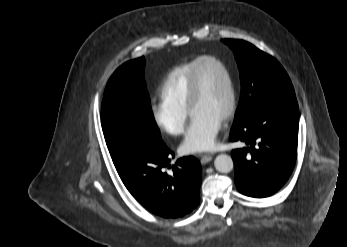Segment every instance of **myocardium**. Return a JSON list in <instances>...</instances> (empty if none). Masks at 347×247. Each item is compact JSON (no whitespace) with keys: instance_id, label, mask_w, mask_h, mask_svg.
Segmentation results:
<instances>
[{"instance_id":"obj_1","label":"myocardium","mask_w":347,"mask_h":247,"mask_svg":"<svg viewBox=\"0 0 347 247\" xmlns=\"http://www.w3.org/2000/svg\"><path fill=\"white\" fill-rule=\"evenodd\" d=\"M203 62H212L219 66L222 71L224 72L227 82H228V88H229V103L227 110L223 116V121H228L230 120L236 111L237 107V92H236V86L234 82V78L232 76V73L228 66L219 58L211 55H205L200 58H198L194 68L192 69L191 72V77L189 81V86H188V94H187V108L189 113L191 114L192 108L196 101L199 98L200 95V85H199V78H198V69L199 66Z\"/></svg>"}]
</instances>
